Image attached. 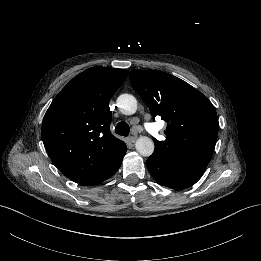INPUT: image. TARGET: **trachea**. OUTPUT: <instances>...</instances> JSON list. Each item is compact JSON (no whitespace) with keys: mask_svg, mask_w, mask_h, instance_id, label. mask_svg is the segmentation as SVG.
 Returning <instances> with one entry per match:
<instances>
[{"mask_svg":"<svg viewBox=\"0 0 261 261\" xmlns=\"http://www.w3.org/2000/svg\"><path fill=\"white\" fill-rule=\"evenodd\" d=\"M115 132L118 135L127 137L130 132V127L126 122H119L115 127Z\"/></svg>","mask_w":261,"mask_h":261,"instance_id":"1","label":"trachea"}]
</instances>
